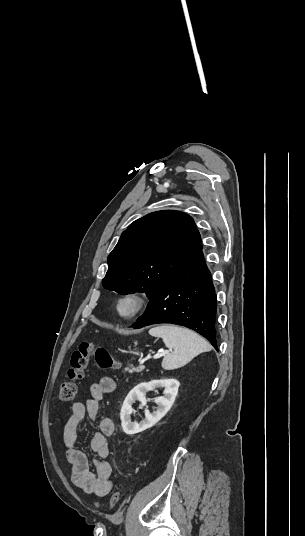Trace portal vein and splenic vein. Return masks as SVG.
Returning a JSON list of instances; mask_svg holds the SVG:
<instances>
[{
	"mask_svg": "<svg viewBox=\"0 0 305 536\" xmlns=\"http://www.w3.org/2000/svg\"><path fill=\"white\" fill-rule=\"evenodd\" d=\"M169 352H171V350H162V352H159V354H155L153 358L154 360H157V358H162V356H165V354H169Z\"/></svg>",
	"mask_w": 305,
	"mask_h": 536,
	"instance_id": "obj_1",
	"label": "portal vein and splenic vein"
}]
</instances>
